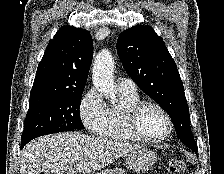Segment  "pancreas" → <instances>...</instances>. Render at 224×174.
<instances>
[{
    "label": "pancreas",
    "instance_id": "1",
    "mask_svg": "<svg viewBox=\"0 0 224 174\" xmlns=\"http://www.w3.org/2000/svg\"><path fill=\"white\" fill-rule=\"evenodd\" d=\"M114 173L113 174H117V172L115 171V170H112ZM119 174H121V173H119Z\"/></svg>",
    "mask_w": 224,
    "mask_h": 174
}]
</instances>
